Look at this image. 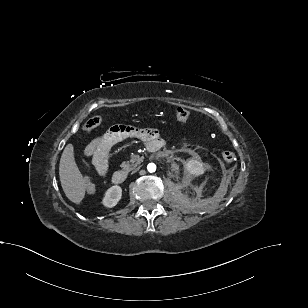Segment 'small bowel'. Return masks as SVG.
<instances>
[{
  "label": "small bowel",
  "instance_id": "obj_1",
  "mask_svg": "<svg viewBox=\"0 0 308 308\" xmlns=\"http://www.w3.org/2000/svg\"><path fill=\"white\" fill-rule=\"evenodd\" d=\"M136 137L146 143L159 139V133L154 128H135L126 125L111 127L103 135L93 139L85 149V156L91 159V164L101 176L107 174L109 163L108 155L111 148L118 142Z\"/></svg>",
  "mask_w": 308,
  "mask_h": 308
}]
</instances>
